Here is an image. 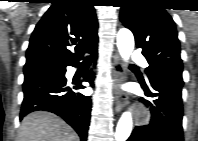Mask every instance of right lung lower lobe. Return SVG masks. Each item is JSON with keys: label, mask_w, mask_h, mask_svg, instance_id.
Returning <instances> with one entry per match:
<instances>
[{"label": "right lung lower lobe", "mask_w": 198, "mask_h": 141, "mask_svg": "<svg viewBox=\"0 0 198 141\" xmlns=\"http://www.w3.org/2000/svg\"><path fill=\"white\" fill-rule=\"evenodd\" d=\"M97 42L87 47L78 58L70 63L26 74L23 83L24 99L20 119L33 111H49L62 117L76 130L81 140L86 141L90 123L91 99L72 91V89L85 87L79 81L68 84L65 72L69 65L76 67L85 52L96 57ZM84 81L93 86L92 71H88L84 75Z\"/></svg>", "instance_id": "obj_1"}]
</instances>
